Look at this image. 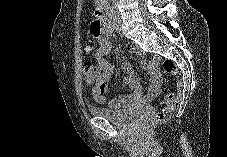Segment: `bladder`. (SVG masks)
<instances>
[{
	"label": "bladder",
	"mask_w": 227,
	"mask_h": 157,
	"mask_svg": "<svg viewBox=\"0 0 227 157\" xmlns=\"http://www.w3.org/2000/svg\"><path fill=\"white\" fill-rule=\"evenodd\" d=\"M90 112L98 117L104 118L113 124L125 126L138 118L143 113V108L135 105L113 108L93 106Z\"/></svg>",
	"instance_id": "bladder-1"
}]
</instances>
